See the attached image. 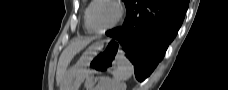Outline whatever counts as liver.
<instances>
[{
	"label": "liver",
	"mask_w": 228,
	"mask_h": 90,
	"mask_svg": "<svg viewBox=\"0 0 228 90\" xmlns=\"http://www.w3.org/2000/svg\"><path fill=\"white\" fill-rule=\"evenodd\" d=\"M93 38H76L73 40L61 53L56 73L57 84L60 85L63 90V83L67 72L68 65L76 54L83 50Z\"/></svg>",
	"instance_id": "1"
}]
</instances>
